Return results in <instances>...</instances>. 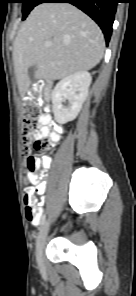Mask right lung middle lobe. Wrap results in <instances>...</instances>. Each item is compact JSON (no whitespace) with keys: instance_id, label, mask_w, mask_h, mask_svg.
<instances>
[{"instance_id":"1","label":"right lung middle lobe","mask_w":136,"mask_h":296,"mask_svg":"<svg viewBox=\"0 0 136 296\" xmlns=\"http://www.w3.org/2000/svg\"><path fill=\"white\" fill-rule=\"evenodd\" d=\"M42 0H20L19 2L23 3V18L24 20L27 15L30 13V11L37 6L38 4L41 3Z\"/></svg>"}]
</instances>
